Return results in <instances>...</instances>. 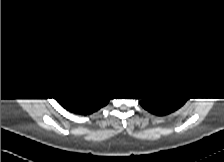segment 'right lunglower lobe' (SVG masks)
<instances>
[{
    "instance_id": "1",
    "label": "right lung lower lobe",
    "mask_w": 224,
    "mask_h": 162,
    "mask_svg": "<svg viewBox=\"0 0 224 162\" xmlns=\"http://www.w3.org/2000/svg\"><path fill=\"white\" fill-rule=\"evenodd\" d=\"M107 102H108V101H105V102H102V103L97 104V105L94 107V109H93L92 111H89V112H86V111H78V112H75V113L84 114V115H86V114H90V113H92V112L98 110V109L101 108L102 106L106 105Z\"/></svg>"
}]
</instances>
